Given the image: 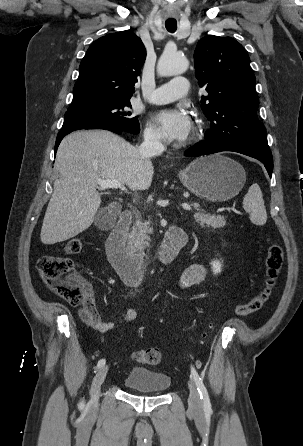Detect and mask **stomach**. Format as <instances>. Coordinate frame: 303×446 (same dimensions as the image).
Masks as SVG:
<instances>
[{
  "label": "stomach",
  "instance_id": "0dacf381",
  "mask_svg": "<svg viewBox=\"0 0 303 446\" xmlns=\"http://www.w3.org/2000/svg\"><path fill=\"white\" fill-rule=\"evenodd\" d=\"M183 185L200 198L223 202L243 188L246 172L238 162L214 154L200 157L179 172Z\"/></svg>",
  "mask_w": 303,
  "mask_h": 446
}]
</instances>
